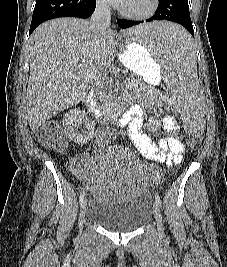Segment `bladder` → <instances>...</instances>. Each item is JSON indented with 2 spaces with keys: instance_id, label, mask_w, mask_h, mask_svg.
Returning a JSON list of instances; mask_svg holds the SVG:
<instances>
[{
  "instance_id": "1",
  "label": "bladder",
  "mask_w": 227,
  "mask_h": 267,
  "mask_svg": "<svg viewBox=\"0 0 227 267\" xmlns=\"http://www.w3.org/2000/svg\"><path fill=\"white\" fill-rule=\"evenodd\" d=\"M152 206L149 196L133 195L119 200H93L87 218L97 225L120 233L132 232L149 220Z\"/></svg>"
}]
</instances>
